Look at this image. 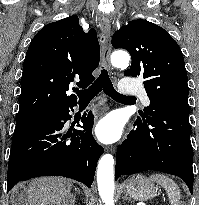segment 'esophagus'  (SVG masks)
Returning <instances> with one entry per match:
<instances>
[{"label": "esophagus", "mask_w": 199, "mask_h": 205, "mask_svg": "<svg viewBox=\"0 0 199 205\" xmlns=\"http://www.w3.org/2000/svg\"><path fill=\"white\" fill-rule=\"evenodd\" d=\"M101 31L104 35V44L102 49V60L106 67L109 69L111 68L110 65V53H111V46H110V32H111V24L108 19H104L100 24ZM106 151L114 153L116 151L115 146L106 147Z\"/></svg>", "instance_id": "1"}]
</instances>
